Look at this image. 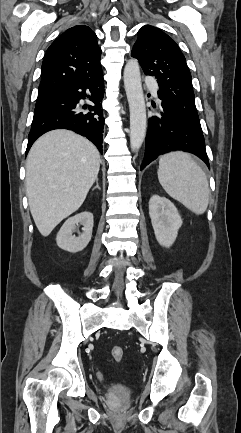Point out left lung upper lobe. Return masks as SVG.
I'll use <instances>...</instances> for the list:
<instances>
[{"label": "left lung upper lobe", "mask_w": 241, "mask_h": 433, "mask_svg": "<svg viewBox=\"0 0 241 433\" xmlns=\"http://www.w3.org/2000/svg\"><path fill=\"white\" fill-rule=\"evenodd\" d=\"M132 57L138 59L145 75L157 78L158 97L168 102L191 125L201 129L195 106L192 78L178 45L167 34L150 25L138 31Z\"/></svg>", "instance_id": "obj_1"}]
</instances>
